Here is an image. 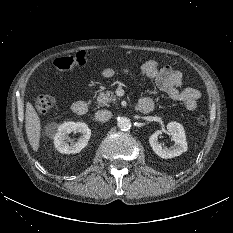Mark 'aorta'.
I'll return each mask as SVG.
<instances>
[{"label": "aorta", "mask_w": 233, "mask_h": 233, "mask_svg": "<svg viewBox=\"0 0 233 233\" xmlns=\"http://www.w3.org/2000/svg\"><path fill=\"white\" fill-rule=\"evenodd\" d=\"M117 125L122 131H127L131 128V121L127 117L118 118Z\"/></svg>", "instance_id": "aorta-1"}]
</instances>
